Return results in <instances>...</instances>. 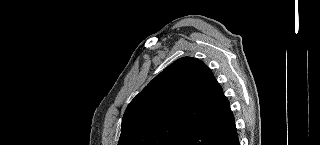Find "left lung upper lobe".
Listing matches in <instances>:
<instances>
[{"instance_id": "1", "label": "left lung upper lobe", "mask_w": 320, "mask_h": 145, "mask_svg": "<svg viewBox=\"0 0 320 145\" xmlns=\"http://www.w3.org/2000/svg\"><path fill=\"white\" fill-rule=\"evenodd\" d=\"M213 77L196 58L170 64L128 105L118 145H180L213 106Z\"/></svg>"}]
</instances>
